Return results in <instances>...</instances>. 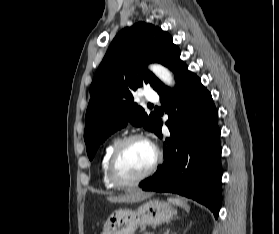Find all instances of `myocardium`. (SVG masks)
I'll use <instances>...</instances> for the list:
<instances>
[{"mask_svg":"<svg viewBox=\"0 0 279 234\" xmlns=\"http://www.w3.org/2000/svg\"><path fill=\"white\" fill-rule=\"evenodd\" d=\"M135 140L147 142L153 147L154 152H155L154 160H153L151 166L140 176H138L134 179H129V180L121 179L117 173V163H118L119 156H120L122 150L124 149V147L127 144H129L130 142L135 141ZM161 160H162V156H161L160 151L146 137H144L140 134H131L129 136H126L119 142H117V144L115 145V147L109 157V161H108V177H109L110 181L116 187L125 188V187L135 186V185H138L139 183H141L142 181H144L145 179H147L148 177H150L156 171Z\"/></svg>","mask_w":279,"mask_h":234,"instance_id":"myocardium-1","label":"myocardium"}]
</instances>
